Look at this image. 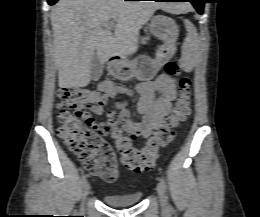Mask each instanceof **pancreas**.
I'll return each mask as SVG.
<instances>
[{"mask_svg": "<svg viewBox=\"0 0 260 217\" xmlns=\"http://www.w3.org/2000/svg\"><path fill=\"white\" fill-rule=\"evenodd\" d=\"M147 39H148L147 37L143 38V39H142V43H146V40H147Z\"/></svg>", "mask_w": 260, "mask_h": 217, "instance_id": "cf45deb5", "label": "pancreas"}]
</instances>
